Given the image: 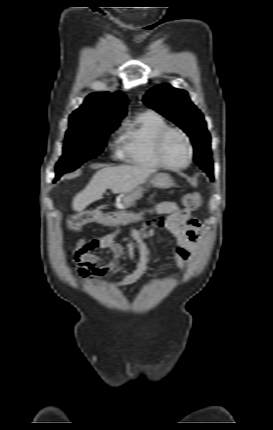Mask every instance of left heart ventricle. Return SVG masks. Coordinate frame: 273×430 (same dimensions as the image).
<instances>
[{
  "mask_svg": "<svg viewBox=\"0 0 273 430\" xmlns=\"http://www.w3.org/2000/svg\"><path fill=\"white\" fill-rule=\"evenodd\" d=\"M163 155L167 162L182 165L187 161L188 150L184 138L176 132L170 133L163 144Z\"/></svg>",
  "mask_w": 273,
  "mask_h": 430,
  "instance_id": "obj_1",
  "label": "left heart ventricle"
}]
</instances>
